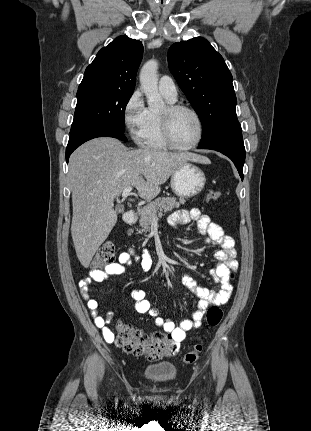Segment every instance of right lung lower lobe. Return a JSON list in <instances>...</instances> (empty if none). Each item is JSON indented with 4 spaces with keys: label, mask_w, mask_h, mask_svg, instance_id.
I'll return each instance as SVG.
<instances>
[{
    "label": "right lung lower lobe",
    "mask_w": 311,
    "mask_h": 431,
    "mask_svg": "<svg viewBox=\"0 0 311 431\" xmlns=\"http://www.w3.org/2000/svg\"><path fill=\"white\" fill-rule=\"evenodd\" d=\"M114 137L127 141L124 131L105 125H89L70 132L69 142L66 148V161L68 163L71 153L84 142L96 137Z\"/></svg>",
    "instance_id": "1"
}]
</instances>
